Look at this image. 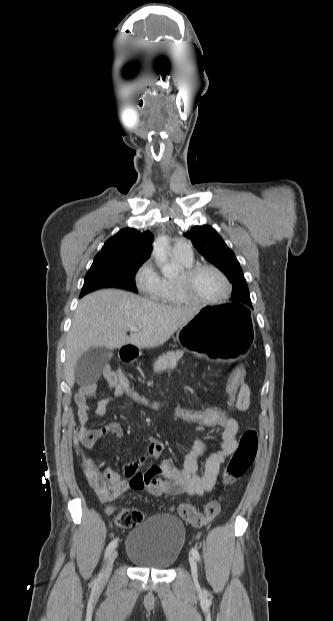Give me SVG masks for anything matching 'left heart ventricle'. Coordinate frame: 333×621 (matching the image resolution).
<instances>
[{"label": "left heart ventricle", "mask_w": 333, "mask_h": 621, "mask_svg": "<svg viewBox=\"0 0 333 621\" xmlns=\"http://www.w3.org/2000/svg\"><path fill=\"white\" fill-rule=\"evenodd\" d=\"M192 291L197 298L215 300L223 296L226 291V285L215 272L204 270L194 278Z\"/></svg>", "instance_id": "b2bd125f"}]
</instances>
